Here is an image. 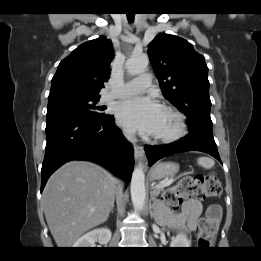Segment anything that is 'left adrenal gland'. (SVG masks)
<instances>
[{
    "label": "left adrenal gland",
    "instance_id": "obj_1",
    "mask_svg": "<svg viewBox=\"0 0 261 261\" xmlns=\"http://www.w3.org/2000/svg\"><path fill=\"white\" fill-rule=\"evenodd\" d=\"M151 200H153V195H152V193H151V199H150V202H151ZM150 214H151V216H153V213H152V210H151V204H150Z\"/></svg>",
    "mask_w": 261,
    "mask_h": 261
}]
</instances>
